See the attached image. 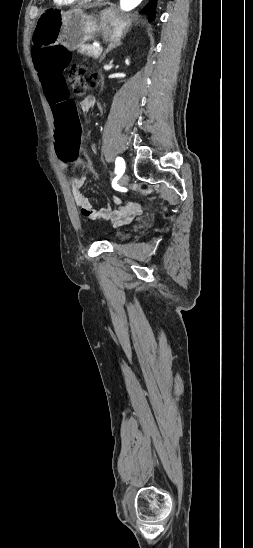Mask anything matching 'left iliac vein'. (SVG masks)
I'll return each mask as SVG.
<instances>
[{
	"mask_svg": "<svg viewBox=\"0 0 253 548\" xmlns=\"http://www.w3.org/2000/svg\"><path fill=\"white\" fill-rule=\"evenodd\" d=\"M129 181V176L127 174H123L120 178V184L125 185Z\"/></svg>",
	"mask_w": 253,
	"mask_h": 548,
	"instance_id": "obj_1",
	"label": "left iliac vein"
}]
</instances>
